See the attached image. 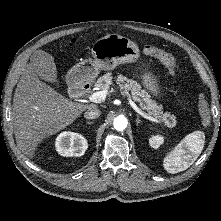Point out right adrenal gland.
Here are the masks:
<instances>
[{"mask_svg":"<svg viewBox=\"0 0 221 221\" xmlns=\"http://www.w3.org/2000/svg\"><path fill=\"white\" fill-rule=\"evenodd\" d=\"M87 124L92 125L93 122L92 121H86Z\"/></svg>","mask_w":221,"mask_h":221,"instance_id":"right-adrenal-gland-1","label":"right adrenal gland"}]
</instances>
